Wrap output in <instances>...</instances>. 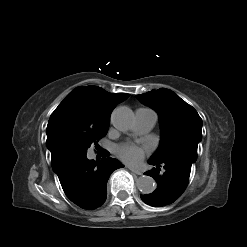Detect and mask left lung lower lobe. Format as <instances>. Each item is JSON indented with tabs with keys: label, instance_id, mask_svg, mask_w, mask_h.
Listing matches in <instances>:
<instances>
[{
	"label": "left lung lower lobe",
	"instance_id": "1",
	"mask_svg": "<svg viewBox=\"0 0 247 247\" xmlns=\"http://www.w3.org/2000/svg\"><path fill=\"white\" fill-rule=\"evenodd\" d=\"M148 163L156 167L144 174L153 177L158 182V187L153 193L141 195V199L153 207L173 203L187 187L192 164L181 159L163 162L150 159ZM160 167L164 168L163 172H160Z\"/></svg>",
	"mask_w": 247,
	"mask_h": 247
}]
</instances>
